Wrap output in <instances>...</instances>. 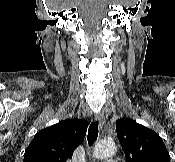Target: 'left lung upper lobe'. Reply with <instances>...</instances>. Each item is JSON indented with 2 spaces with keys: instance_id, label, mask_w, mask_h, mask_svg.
<instances>
[{
  "instance_id": "5c2ea615",
  "label": "left lung upper lobe",
  "mask_w": 175,
  "mask_h": 162,
  "mask_svg": "<svg viewBox=\"0 0 175 162\" xmlns=\"http://www.w3.org/2000/svg\"><path fill=\"white\" fill-rule=\"evenodd\" d=\"M116 132L126 162H170L166 146L155 131L123 118L116 122Z\"/></svg>"
}]
</instances>
